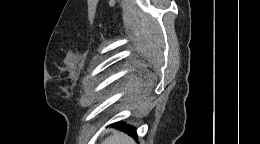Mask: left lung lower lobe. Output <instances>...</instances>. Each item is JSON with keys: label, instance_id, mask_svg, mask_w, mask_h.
Wrapping results in <instances>:
<instances>
[{"label": "left lung lower lobe", "instance_id": "1", "mask_svg": "<svg viewBox=\"0 0 260 144\" xmlns=\"http://www.w3.org/2000/svg\"><path fill=\"white\" fill-rule=\"evenodd\" d=\"M110 126L124 130L126 133L132 135L134 138H137L136 130L133 126H128L120 122L111 124Z\"/></svg>", "mask_w": 260, "mask_h": 144}]
</instances>
